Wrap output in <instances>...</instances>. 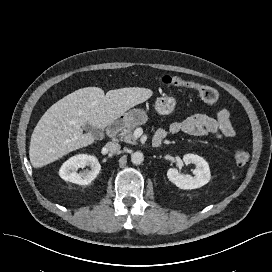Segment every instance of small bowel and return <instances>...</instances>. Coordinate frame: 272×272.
I'll return each mask as SVG.
<instances>
[{
    "label": "small bowel",
    "instance_id": "c3829d8e",
    "mask_svg": "<svg viewBox=\"0 0 272 272\" xmlns=\"http://www.w3.org/2000/svg\"><path fill=\"white\" fill-rule=\"evenodd\" d=\"M231 114L221 110L216 117L205 114H195L184 120L173 122L168 130L158 129L155 137L165 139L169 134L185 133L195 137L214 135L216 137H233L235 130L231 124Z\"/></svg>",
    "mask_w": 272,
    "mask_h": 272
}]
</instances>
